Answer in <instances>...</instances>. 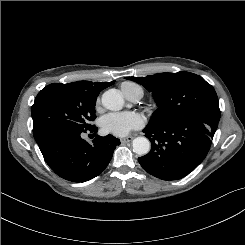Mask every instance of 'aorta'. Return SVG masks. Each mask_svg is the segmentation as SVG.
<instances>
[{
  "instance_id": "1",
  "label": "aorta",
  "mask_w": 245,
  "mask_h": 245,
  "mask_svg": "<svg viewBox=\"0 0 245 245\" xmlns=\"http://www.w3.org/2000/svg\"><path fill=\"white\" fill-rule=\"evenodd\" d=\"M102 104L106 109L112 111L121 110L124 99L117 89H109L102 95ZM133 151L138 155H145L150 150V142L145 137H136L132 141Z\"/></svg>"
}]
</instances>
